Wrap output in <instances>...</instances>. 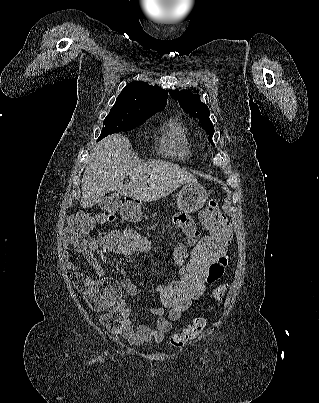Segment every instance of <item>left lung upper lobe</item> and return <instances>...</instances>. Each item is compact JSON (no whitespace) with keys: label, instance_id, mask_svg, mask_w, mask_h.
Returning a JSON list of instances; mask_svg holds the SVG:
<instances>
[{"label":"left lung upper lobe","instance_id":"1","mask_svg":"<svg viewBox=\"0 0 319 403\" xmlns=\"http://www.w3.org/2000/svg\"><path fill=\"white\" fill-rule=\"evenodd\" d=\"M169 94L173 99L178 100L180 107L185 112H187L190 116L199 119L202 127L206 130L207 134L209 135V139L212 142L214 127L209 118L210 111L206 104L200 101L199 95L192 94L190 90H170Z\"/></svg>","mask_w":319,"mask_h":403}]
</instances>
